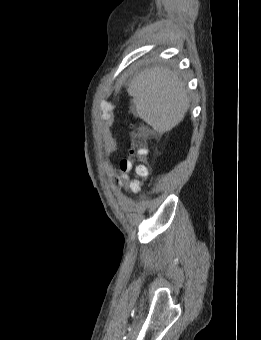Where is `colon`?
I'll return each mask as SVG.
<instances>
[{
    "mask_svg": "<svg viewBox=\"0 0 261 340\" xmlns=\"http://www.w3.org/2000/svg\"><path fill=\"white\" fill-rule=\"evenodd\" d=\"M129 153V159H124L120 163V168L125 175L121 177L119 184L127 191L138 192L140 189V183L136 179H131L129 176L133 174L135 177H143L147 174L145 166H133L132 164V158L143 160L148 153V149L144 143V137L141 133H132Z\"/></svg>",
    "mask_w": 261,
    "mask_h": 340,
    "instance_id": "5ec220e1",
    "label": "colon"
}]
</instances>
